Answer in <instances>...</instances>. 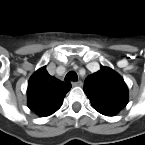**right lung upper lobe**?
<instances>
[{
	"label": "right lung upper lobe",
	"instance_id": "1",
	"mask_svg": "<svg viewBox=\"0 0 145 145\" xmlns=\"http://www.w3.org/2000/svg\"><path fill=\"white\" fill-rule=\"evenodd\" d=\"M70 88V82H63L51 76L44 66L28 81V106L41 117L49 116L61 107Z\"/></svg>",
	"mask_w": 145,
	"mask_h": 145
}]
</instances>
